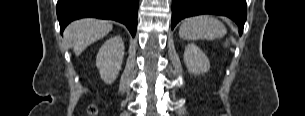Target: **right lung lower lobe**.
Returning a JSON list of instances; mask_svg holds the SVG:
<instances>
[{"label": "right lung lower lobe", "instance_id": "right-lung-lower-lobe-1", "mask_svg": "<svg viewBox=\"0 0 305 116\" xmlns=\"http://www.w3.org/2000/svg\"><path fill=\"white\" fill-rule=\"evenodd\" d=\"M139 0H58L60 31L73 20L83 17L110 19L126 25L134 37L137 28Z\"/></svg>", "mask_w": 305, "mask_h": 116}]
</instances>
